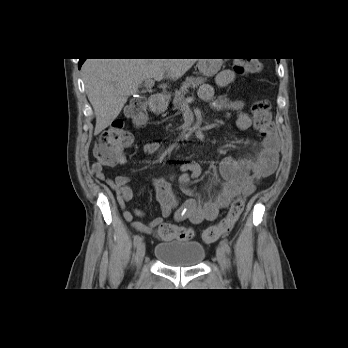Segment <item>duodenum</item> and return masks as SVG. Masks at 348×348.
<instances>
[{"mask_svg":"<svg viewBox=\"0 0 348 348\" xmlns=\"http://www.w3.org/2000/svg\"><path fill=\"white\" fill-rule=\"evenodd\" d=\"M149 105L152 111H161L164 106V100L161 95H153L150 98Z\"/></svg>","mask_w":348,"mask_h":348,"instance_id":"1","label":"duodenum"}]
</instances>
